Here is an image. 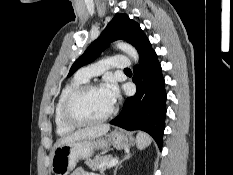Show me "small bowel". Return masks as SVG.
Instances as JSON below:
<instances>
[{
  "mask_svg": "<svg viewBox=\"0 0 233 175\" xmlns=\"http://www.w3.org/2000/svg\"><path fill=\"white\" fill-rule=\"evenodd\" d=\"M71 175H100V174H97V173H94V172H87L82 168H77L72 172Z\"/></svg>",
  "mask_w": 233,
  "mask_h": 175,
  "instance_id": "c3829d8e",
  "label": "small bowel"
}]
</instances>
